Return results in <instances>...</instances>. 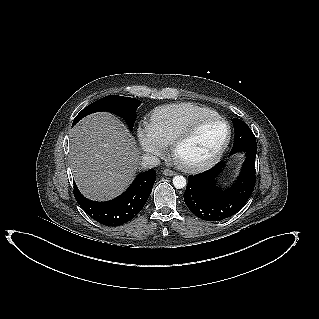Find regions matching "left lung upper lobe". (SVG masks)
<instances>
[{
    "label": "left lung upper lobe",
    "instance_id": "1",
    "mask_svg": "<svg viewBox=\"0 0 319 319\" xmlns=\"http://www.w3.org/2000/svg\"><path fill=\"white\" fill-rule=\"evenodd\" d=\"M234 131L235 137L232 150L243 151L251 149L257 151L255 136L245 122L236 119V127L234 128Z\"/></svg>",
    "mask_w": 319,
    "mask_h": 319
}]
</instances>
